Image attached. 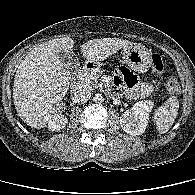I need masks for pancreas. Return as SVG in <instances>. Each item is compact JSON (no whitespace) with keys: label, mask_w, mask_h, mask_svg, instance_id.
I'll list each match as a JSON object with an SVG mask.
<instances>
[{"label":"pancreas","mask_w":195,"mask_h":195,"mask_svg":"<svg viewBox=\"0 0 195 195\" xmlns=\"http://www.w3.org/2000/svg\"><path fill=\"white\" fill-rule=\"evenodd\" d=\"M101 74L102 71L100 70H95L92 73L84 74L80 81L81 86L90 90L102 89L103 85L100 82Z\"/></svg>","instance_id":"cf45deb5"}]
</instances>
